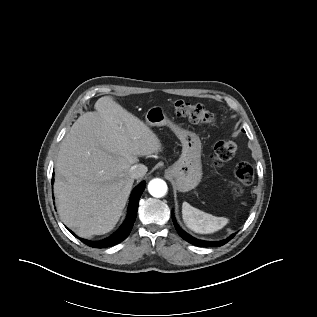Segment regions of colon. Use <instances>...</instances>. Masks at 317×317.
<instances>
[{
  "label": "colon",
  "instance_id": "obj_1",
  "mask_svg": "<svg viewBox=\"0 0 317 317\" xmlns=\"http://www.w3.org/2000/svg\"><path fill=\"white\" fill-rule=\"evenodd\" d=\"M173 111L177 116L189 118L191 121L202 124H213L215 116L202 104H192L183 100H178L173 104ZM236 153L234 141L226 139L218 142L211 156V163L214 167L221 166L224 162L231 160ZM254 171L248 162H239L235 168V181L231 184V193L240 195L243 187L252 183Z\"/></svg>",
  "mask_w": 317,
  "mask_h": 317
}]
</instances>
